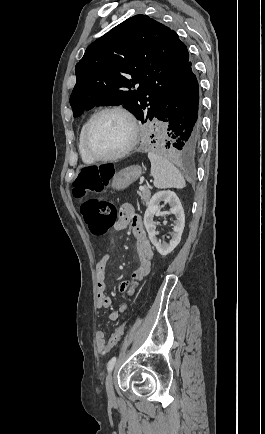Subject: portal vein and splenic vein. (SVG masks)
Here are the masks:
<instances>
[{
    "label": "portal vein and splenic vein",
    "instance_id": "18ae733b",
    "mask_svg": "<svg viewBox=\"0 0 265 434\" xmlns=\"http://www.w3.org/2000/svg\"><path fill=\"white\" fill-rule=\"evenodd\" d=\"M139 190H144L143 186H139Z\"/></svg>",
    "mask_w": 265,
    "mask_h": 434
}]
</instances>
